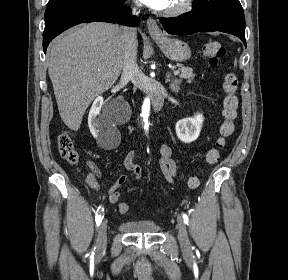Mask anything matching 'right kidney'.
Masks as SVG:
<instances>
[{"label": "right kidney", "mask_w": 288, "mask_h": 280, "mask_svg": "<svg viewBox=\"0 0 288 280\" xmlns=\"http://www.w3.org/2000/svg\"><path fill=\"white\" fill-rule=\"evenodd\" d=\"M104 105L102 97H97L88 115V126L97 143L102 148H111V142L116 134L114 127L106 124L105 117L101 113Z\"/></svg>", "instance_id": "obj_1"}]
</instances>
